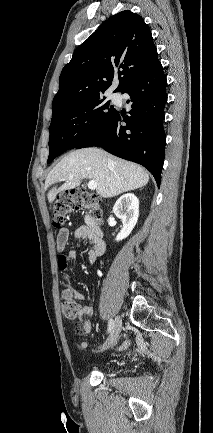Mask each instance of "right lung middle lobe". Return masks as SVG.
Instances as JSON below:
<instances>
[{"label": "right lung middle lobe", "mask_w": 213, "mask_h": 433, "mask_svg": "<svg viewBox=\"0 0 213 433\" xmlns=\"http://www.w3.org/2000/svg\"><path fill=\"white\" fill-rule=\"evenodd\" d=\"M104 99L94 97L63 108L52 116L48 163L91 138L109 123L116 110Z\"/></svg>", "instance_id": "dd1d6c3e"}]
</instances>
